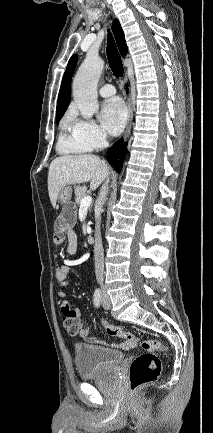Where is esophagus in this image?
I'll list each match as a JSON object with an SVG mask.
<instances>
[{
	"label": "esophagus",
	"mask_w": 213,
	"mask_h": 433,
	"mask_svg": "<svg viewBox=\"0 0 213 433\" xmlns=\"http://www.w3.org/2000/svg\"><path fill=\"white\" fill-rule=\"evenodd\" d=\"M126 77L127 76L125 75V80H126ZM132 119H133V107H132L131 101L128 100V124H127L125 135H124L125 137H127L130 133Z\"/></svg>",
	"instance_id": "obj_1"
}]
</instances>
